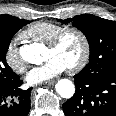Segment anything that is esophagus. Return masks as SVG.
<instances>
[{"mask_svg": "<svg viewBox=\"0 0 116 116\" xmlns=\"http://www.w3.org/2000/svg\"><path fill=\"white\" fill-rule=\"evenodd\" d=\"M55 83L54 80L45 82V85L51 86Z\"/></svg>", "mask_w": 116, "mask_h": 116, "instance_id": "esophagus-1", "label": "esophagus"}]
</instances>
